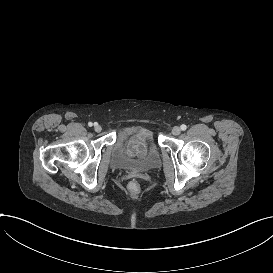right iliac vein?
<instances>
[{"mask_svg": "<svg viewBox=\"0 0 273 273\" xmlns=\"http://www.w3.org/2000/svg\"><path fill=\"white\" fill-rule=\"evenodd\" d=\"M94 130H95V132L99 133V132H101L102 128L100 125L96 124L94 127Z\"/></svg>", "mask_w": 273, "mask_h": 273, "instance_id": "right-iliac-vein-1", "label": "right iliac vein"}]
</instances>
